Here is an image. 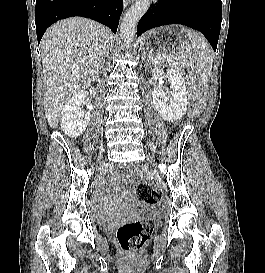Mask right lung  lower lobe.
<instances>
[{"label":"right lung lower lobe","mask_w":265,"mask_h":273,"mask_svg":"<svg viewBox=\"0 0 265 273\" xmlns=\"http://www.w3.org/2000/svg\"><path fill=\"white\" fill-rule=\"evenodd\" d=\"M122 0H36L35 23L38 43L46 29L60 19L82 16L117 31Z\"/></svg>","instance_id":"right-lung-lower-lobe-1"}]
</instances>
